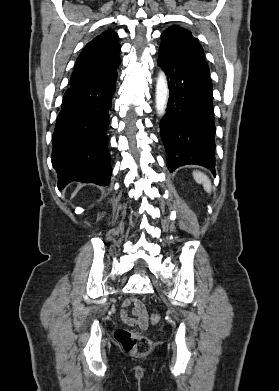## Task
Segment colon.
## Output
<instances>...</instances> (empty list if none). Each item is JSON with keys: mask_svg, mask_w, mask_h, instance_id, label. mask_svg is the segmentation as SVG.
Here are the masks:
<instances>
[{"mask_svg": "<svg viewBox=\"0 0 279 391\" xmlns=\"http://www.w3.org/2000/svg\"><path fill=\"white\" fill-rule=\"evenodd\" d=\"M160 320L159 314L151 315V322L158 323ZM116 341L126 352H131L136 355H147L151 350L150 340L137 332H133L124 328L117 329L114 333Z\"/></svg>", "mask_w": 279, "mask_h": 391, "instance_id": "colon-1", "label": "colon"}]
</instances>
